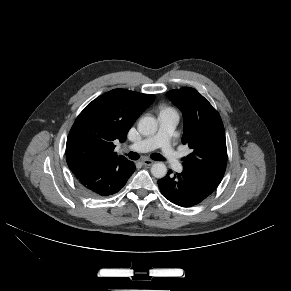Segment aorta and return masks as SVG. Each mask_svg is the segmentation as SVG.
<instances>
[{"mask_svg": "<svg viewBox=\"0 0 291 291\" xmlns=\"http://www.w3.org/2000/svg\"><path fill=\"white\" fill-rule=\"evenodd\" d=\"M137 129L144 136H152L157 132L158 123L154 117L145 116L139 120ZM151 173L156 178H163L167 174V167L162 162H156L151 167Z\"/></svg>", "mask_w": 291, "mask_h": 291, "instance_id": "obj_1", "label": "aorta"}]
</instances>
